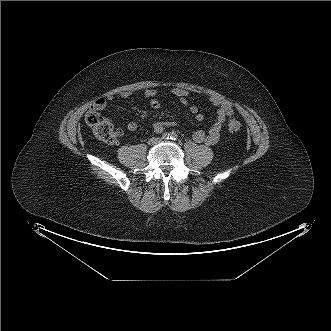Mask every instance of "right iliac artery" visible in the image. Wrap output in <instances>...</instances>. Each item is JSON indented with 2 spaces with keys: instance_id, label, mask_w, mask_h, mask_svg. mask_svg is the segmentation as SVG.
I'll list each match as a JSON object with an SVG mask.
<instances>
[{
  "instance_id": "82829eb1",
  "label": "right iliac artery",
  "mask_w": 331,
  "mask_h": 331,
  "mask_svg": "<svg viewBox=\"0 0 331 331\" xmlns=\"http://www.w3.org/2000/svg\"><path fill=\"white\" fill-rule=\"evenodd\" d=\"M169 136H170V134L165 132L162 134V139L167 140V139H169Z\"/></svg>"
}]
</instances>
